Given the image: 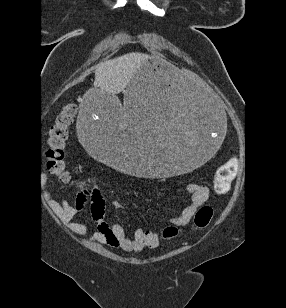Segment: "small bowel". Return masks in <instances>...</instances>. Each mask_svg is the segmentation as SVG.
I'll use <instances>...</instances> for the list:
<instances>
[{"instance_id": "1", "label": "small bowel", "mask_w": 286, "mask_h": 308, "mask_svg": "<svg viewBox=\"0 0 286 308\" xmlns=\"http://www.w3.org/2000/svg\"><path fill=\"white\" fill-rule=\"evenodd\" d=\"M186 191L190 194L191 200L181 214L171 219V223L175 226H186L197 209L209 198V189L202 184L189 183ZM89 198L92 201L91 216L98 222V228L92 235L96 241L127 252H139L145 248L154 249L159 245V235L156 232L138 228L134 231L133 237L129 238L120 224H107L104 221L105 200L102 190L96 185L83 186L74 205H69L65 201H53L51 205L74 233L84 235L88 232V225L83 222H74L73 218L85 207ZM111 205L114 209L123 208L118 200H113Z\"/></svg>"}]
</instances>
